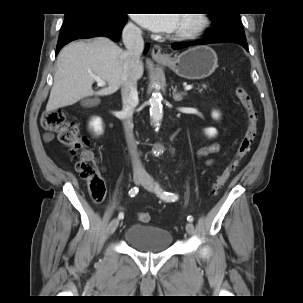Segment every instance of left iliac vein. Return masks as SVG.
Segmentation results:
<instances>
[{
    "instance_id": "left-iliac-vein-1",
    "label": "left iliac vein",
    "mask_w": 303,
    "mask_h": 303,
    "mask_svg": "<svg viewBox=\"0 0 303 303\" xmlns=\"http://www.w3.org/2000/svg\"><path fill=\"white\" fill-rule=\"evenodd\" d=\"M141 184L144 188L152 192H154L157 187L155 181L152 179V177L149 174H145ZM186 231L189 235L194 234V225L192 222H188L186 224Z\"/></svg>"
}]
</instances>
